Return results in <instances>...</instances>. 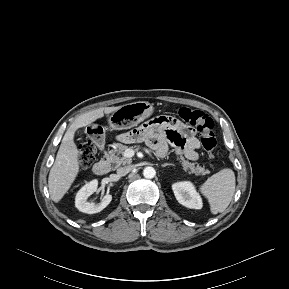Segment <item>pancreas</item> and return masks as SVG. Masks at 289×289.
Listing matches in <instances>:
<instances>
[{
	"mask_svg": "<svg viewBox=\"0 0 289 289\" xmlns=\"http://www.w3.org/2000/svg\"><path fill=\"white\" fill-rule=\"evenodd\" d=\"M129 148L130 147L123 145L121 143H115L113 145V149L108 152V155L106 156V158L110 163L115 164L116 167L130 164L132 162L131 159L126 158L124 156V152ZM120 154L122 155V157L120 156ZM178 160L180 164L182 165L183 170L189 171V173L196 174V175H199V174L205 175L209 172L208 170H205L204 168L200 166H195L194 163L189 162L183 156H180Z\"/></svg>",
	"mask_w": 289,
	"mask_h": 289,
	"instance_id": "1",
	"label": "pancreas"
}]
</instances>
